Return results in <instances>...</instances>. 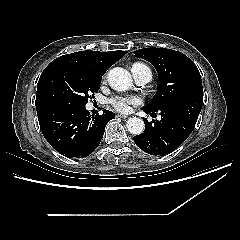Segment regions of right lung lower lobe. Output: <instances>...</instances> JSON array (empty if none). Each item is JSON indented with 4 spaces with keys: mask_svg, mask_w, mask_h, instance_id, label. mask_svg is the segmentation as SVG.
<instances>
[{
    "mask_svg": "<svg viewBox=\"0 0 240 240\" xmlns=\"http://www.w3.org/2000/svg\"><path fill=\"white\" fill-rule=\"evenodd\" d=\"M39 125L47 142L68 158H82L100 144L106 124L115 118L103 110L92 117L85 107L58 104L37 111Z\"/></svg>",
    "mask_w": 240,
    "mask_h": 240,
    "instance_id": "right-lung-lower-lobe-1",
    "label": "right lung lower lobe"
}]
</instances>
